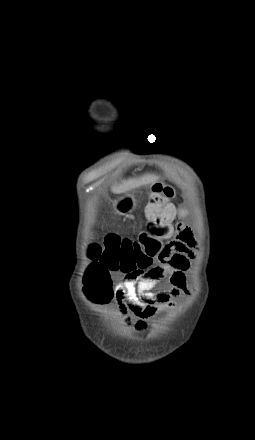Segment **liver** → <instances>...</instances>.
<instances>
[{
  "mask_svg": "<svg viewBox=\"0 0 255 440\" xmlns=\"http://www.w3.org/2000/svg\"><path fill=\"white\" fill-rule=\"evenodd\" d=\"M158 176L153 174H147L140 178H133L123 181L122 183L112 187V192L115 194L126 193L132 189L138 188L145 184L154 183L158 180Z\"/></svg>",
  "mask_w": 255,
  "mask_h": 440,
  "instance_id": "6515ba94",
  "label": "liver"
}]
</instances>
